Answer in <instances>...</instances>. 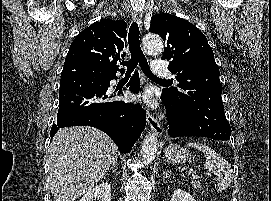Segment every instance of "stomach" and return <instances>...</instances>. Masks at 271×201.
I'll use <instances>...</instances> for the list:
<instances>
[{"label": "stomach", "mask_w": 271, "mask_h": 201, "mask_svg": "<svg viewBox=\"0 0 271 201\" xmlns=\"http://www.w3.org/2000/svg\"><path fill=\"white\" fill-rule=\"evenodd\" d=\"M189 152L179 145L171 144L164 150V157L169 163H184L188 159Z\"/></svg>", "instance_id": "stomach-1"}]
</instances>
